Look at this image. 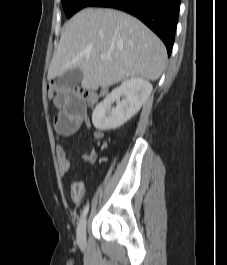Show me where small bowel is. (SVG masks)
Returning <instances> with one entry per match:
<instances>
[{"instance_id": "obj_1", "label": "small bowel", "mask_w": 227, "mask_h": 265, "mask_svg": "<svg viewBox=\"0 0 227 265\" xmlns=\"http://www.w3.org/2000/svg\"><path fill=\"white\" fill-rule=\"evenodd\" d=\"M54 101L55 104L62 107L54 120V128L59 137H66L74 134L82 124L88 128L92 127L91 121L87 115L85 96H82V91H78V87H58V96H54ZM102 138V131L95 130L91 140L96 141ZM97 156V152L92 148L82 154V159L86 162L93 163L96 161ZM58 162L61 175H67L71 169V162L62 148L58 151ZM84 195L85 184L80 180L73 181L70 186L72 201L75 204H79Z\"/></svg>"}]
</instances>
